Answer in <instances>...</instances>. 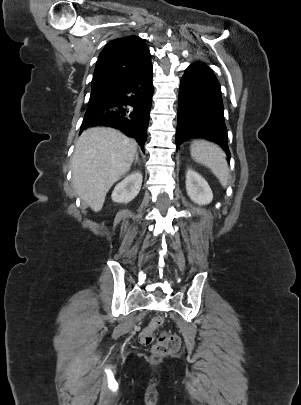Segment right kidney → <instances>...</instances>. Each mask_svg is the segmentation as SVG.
I'll return each instance as SVG.
<instances>
[{
	"label": "right kidney",
	"mask_w": 301,
	"mask_h": 405,
	"mask_svg": "<svg viewBox=\"0 0 301 405\" xmlns=\"http://www.w3.org/2000/svg\"><path fill=\"white\" fill-rule=\"evenodd\" d=\"M141 185V172H133L115 186L111 198L116 203H128L138 195Z\"/></svg>",
	"instance_id": "1"
}]
</instances>
